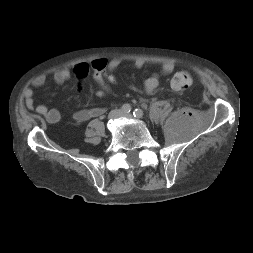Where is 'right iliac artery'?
Listing matches in <instances>:
<instances>
[{
    "label": "right iliac artery",
    "instance_id": "1",
    "mask_svg": "<svg viewBox=\"0 0 253 253\" xmlns=\"http://www.w3.org/2000/svg\"><path fill=\"white\" fill-rule=\"evenodd\" d=\"M131 110H132V108H131V106H130L129 104H124V105L122 106V111H123L124 113H130Z\"/></svg>",
    "mask_w": 253,
    "mask_h": 253
}]
</instances>
